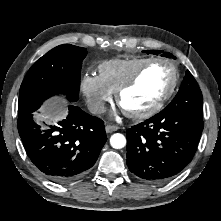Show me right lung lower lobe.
Instances as JSON below:
<instances>
[{
	"mask_svg": "<svg viewBox=\"0 0 221 221\" xmlns=\"http://www.w3.org/2000/svg\"><path fill=\"white\" fill-rule=\"evenodd\" d=\"M17 125L31 162L60 184L84 177L107 140L104 122L76 105H70L67 118L57 124L41 127L30 113L18 117Z\"/></svg>",
	"mask_w": 221,
	"mask_h": 221,
	"instance_id": "1",
	"label": "right lung lower lobe"
}]
</instances>
